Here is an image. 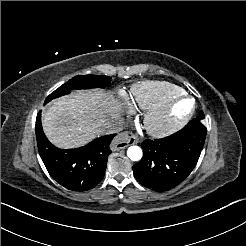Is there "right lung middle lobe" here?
Returning a JSON list of instances; mask_svg holds the SVG:
<instances>
[{"label": "right lung middle lobe", "mask_w": 246, "mask_h": 246, "mask_svg": "<svg viewBox=\"0 0 246 246\" xmlns=\"http://www.w3.org/2000/svg\"><path fill=\"white\" fill-rule=\"evenodd\" d=\"M111 82V78L108 76L100 75H79L73 77L65 84L61 85L58 89L52 92L45 100V104L60 97L62 95L69 94L73 89H90V88H106Z\"/></svg>", "instance_id": "right-lung-middle-lobe-1"}]
</instances>
